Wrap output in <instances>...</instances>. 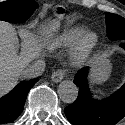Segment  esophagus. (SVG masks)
<instances>
[{
  "instance_id": "34e87169",
  "label": "esophagus",
  "mask_w": 125,
  "mask_h": 125,
  "mask_svg": "<svg viewBox=\"0 0 125 125\" xmlns=\"http://www.w3.org/2000/svg\"><path fill=\"white\" fill-rule=\"evenodd\" d=\"M64 76H65V70H64V69H58V70H56V71L52 74L51 79H52L54 82L58 83V82H60V81L63 80Z\"/></svg>"
}]
</instances>
